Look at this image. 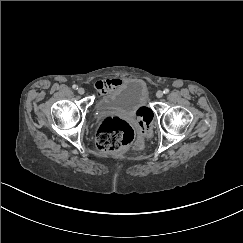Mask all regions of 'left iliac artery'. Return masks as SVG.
<instances>
[{"mask_svg":"<svg viewBox=\"0 0 243 243\" xmlns=\"http://www.w3.org/2000/svg\"><path fill=\"white\" fill-rule=\"evenodd\" d=\"M165 94H167L168 92H169V89H164V91H163Z\"/></svg>","mask_w":243,"mask_h":243,"instance_id":"44dca946","label":"left iliac artery"}]
</instances>
